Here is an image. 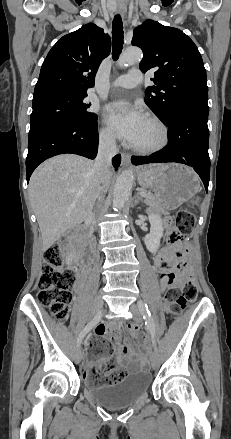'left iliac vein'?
Returning a JSON list of instances; mask_svg holds the SVG:
<instances>
[{
  "instance_id": "left-iliac-vein-1",
  "label": "left iliac vein",
  "mask_w": 231,
  "mask_h": 439,
  "mask_svg": "<svg viewBox=\"0 0 231 439\" xmlns=\"http://www.w3.org/2000/svg\"><path fill=\"white\" fill-rule=\"evenodd\" d=\"M130 310L133 313L134 319L136 321L142 320L143 310L138 304H132ZM151 364L153 369H158V367L160 366V355L157 350L154 351L151 357Z\"/></svg>"
}]
</instances>
